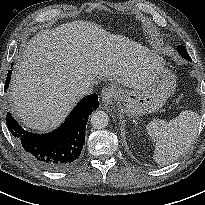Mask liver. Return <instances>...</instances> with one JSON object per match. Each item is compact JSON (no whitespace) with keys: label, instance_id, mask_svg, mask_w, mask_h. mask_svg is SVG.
<instances>
[{"label":"liver","instance_id":"6515ba94","mask_svg":"<svg viewBox=\"0 0 205 205\" xmlns=\"http://www.w3.org/2000/svg\"><path fill=\"white\" fill-rule=\"evenodd\" d=\"M159 56L91 21H73L32 37L14 64L12 112L39 132L56 128L75 106L76 85L113 78L133 89L148 87L163 68Z\"/></svg>","mask_w":205,"mask_h":205}]
</instances>
